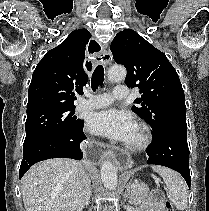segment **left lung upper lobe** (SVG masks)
Returning <instances> with one entry per match:
<instances>
[{"label":"left lung upper lobe","instance_id":"1","mask_svg":"<svg viewBox=\"0 0 209 211\" xmlns=\"http://www.w3.org/2000/svg\"><path fill=\"white\" fill-rule=\"evenodd\" d=\"M113 58L127 69L125 83L138 87L142 97L132 111L145 119L153 136L175 123H186L184 91L174 67L160 50L131 29L119 32L111 43Z\"/></svg>","mask_w":209,"mask_h":211}]
</instances>
